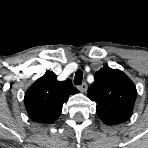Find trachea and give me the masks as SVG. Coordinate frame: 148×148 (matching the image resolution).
Here are the masks:
<instances>
[{
	"mask_svg": "<svg viewBox=\"0 0 148 148\" xmlns=\"http://www.w3.org/2000/svg\"><path fill=\"white\" fill-rule=\"evenodd\" d=\"M82 79H83V72L81 70H78L75 73L74 84L75 85H81L82 84Z\"/></svg>",
	"mask_w": 148,
	"mask_h": 148,
	"instance_id": "3493384b",
	"label": "trachea"
}]
</instances>
